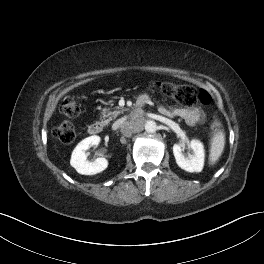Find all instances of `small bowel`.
Wrapping results in <instances>:
<instances>
[{"mask_svg": "<svg viewBox=\"0 0 264 264\" xmlns=\"http://www.w3.org/2000/svg\"><path fill=\"white\" fill-rule=\"evenodd\" d=\"M147 99V96H143ZM160 112L168 117H179L184 119L188 124L195 125L204 119V113L197 107H160Z\"/></svg>", "mask_w": 264, "mask_h": 264, "instance_id": "obj_1", "label": "small bowel"}]
</instances>
